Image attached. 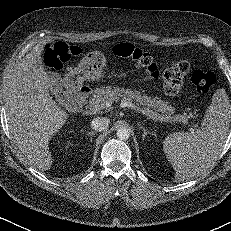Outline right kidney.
<instances>
[{"label":"right kidney","instance_id":"right-kidney-1","mask_svg":"<svg viewBox=\"0 0 231 231\" xmlns=\"http://www.w3.org/2000/svg\"><path fill=\"white\" fill-rule=\"evenodd\" d=\"M70 144H71V143H70V142H68V144H67V146H66V147H69V146H70Z\"/></svg>","mask_w":231,"mask_h":231}]
</instances>
